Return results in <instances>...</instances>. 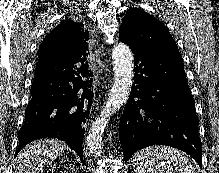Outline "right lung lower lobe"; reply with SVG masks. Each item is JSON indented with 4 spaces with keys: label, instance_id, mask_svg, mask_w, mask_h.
Listing matches in <instances>:
<instances>
[{
    "label": "right lung lower lobe",
    "instance_id": "98d812e1",
    "mask_svg": "<svg viewBox=\"0 0 219 173\" xmlns=\"http://www.w3.org/2000/svg\"><path fill=\"white\" fill-rule=\"evenodd\" d=\"M85 61L77 56L38 61L15 155L36 139L58 138L75 150L83 162L84 126L93 99V75ZM77 63L83 64L77 67Z\"/></svg>",
    "mask_w": 219,
    "mask_h": 173
}]
</instances>
